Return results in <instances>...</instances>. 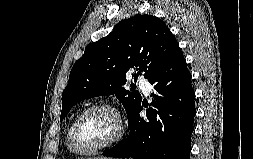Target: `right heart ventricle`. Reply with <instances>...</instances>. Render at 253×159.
Segmentation results:
<instances>
[{
  "label": "right heart ventricle",
  "mask_w": 253,
  "mask_h": 159,
  "mask_svg": "<svg viewBox=\"0 0 253 159\" xmlns=\"http://www.w3.org/2000/svg\"><path fill=\"white\" fill-rule=\"evenodd\" d=\"M70 126L68 127L67 132H66V145H67L68 148H70V146H69V130H70Z\"/></svg>",
  "instance_id": "obj_1"
}]
</instances>
